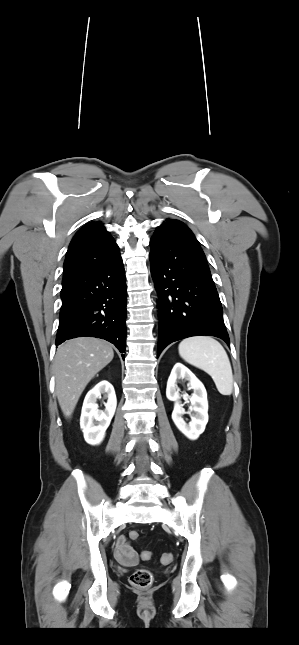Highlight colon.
<instances>
[{"label": "colon", "instance_id": "5ec220e1", "mask_svg": "<svg viewBox=\"0 0 299 645\" xmlns=\"http://www.w3.org/2000/svg\"><path fill=\"white\" fill-rule=\"evenodd\" d=\"M129 537L132 540H137L139 538V533L137 531H131ZM143 560H149L152 557V553L149 551H143L141 553ZM173 557L171 553H163L161 555V562L168 564L172 561ZM130 583L137 588L144 589L151 585L152 583V574L147 569H138L133 572L130 576Z\"/></svg>", "mask_w": 299, "mask_h": 645}]
</instances>
